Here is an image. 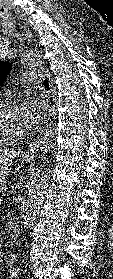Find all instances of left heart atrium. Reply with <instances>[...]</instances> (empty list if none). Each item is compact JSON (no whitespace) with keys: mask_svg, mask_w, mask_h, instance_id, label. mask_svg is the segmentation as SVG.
I'll use <instances>...</instances> for the list:
<instances>
[{"mask_svg":"<svg viewBox=\"0 0 113 279\" xmlns=\"http://www.w3.org/2000/svg\"><path fill=\"white\" fill-rule=\"evenodd\" d=\"M47 114L48 106L44 101L28 98L21 107V117L26 132L37 129Z\"/></svg>","mask_w":113,"mask_h":279,"instance_id":"39dd6f15","label":"left heart atrium"}]
</instances>
